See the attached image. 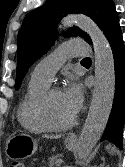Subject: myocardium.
<instances>
[{"instance_id": "myocardium-1", "label": "myocardium", "mask_w": 125, "mask_h": 167, "mask_svg": "<svg viewBox=\"0 0 125 167\" xmlns=\"http://www.w3.org/2000/svg\"><path fill=\"white\" fill-rule=\"evenodd\" d=\"M60 91L58 87H48L45 92L41 95L36 106V115L41 125L48 131H65L74 126L77 121L76 115L73 116L68 122L58 125L53 123L48 115V101L51 95L55 92Z\"/></svg>"}]
</instances>
